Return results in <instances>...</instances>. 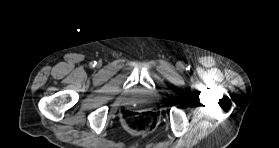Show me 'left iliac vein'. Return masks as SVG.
<instances>
[{
    "label": "left iliac vein",
    "mask_w": 279,
    "mask_h": 148,
    "mask_svg": "<svg viewBox=\"0 0 279 148\" xmlns=\"http://www.w3.org/2000/svg\"><path fill=\"white\" fill-rule=\"evenodd\" d=\"M177 66H178L179 69L183 68V64L182 63H178Z\"/></svg>",
    "instance_id": "left-iliac-vein-1"
}]
</instances>
